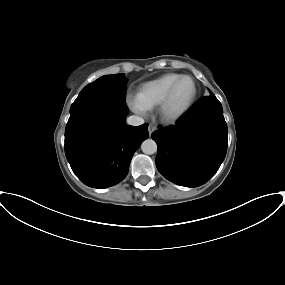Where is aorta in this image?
Wrapping results in <instances>:
<instances>
[{
    "label": "aorta",
    "mask_w": 285,
    "mask_h": 285,
    "mask_svg": "<svg viewBox=\"0 0 285 285\" xmlns=\"http://www.w3.org/2000/svg\"><path fill=\"white\" fill-rule=\"evenodd\" d=\"M141 149H142L143 153L151 155V154H154L155 152H157V144L154 140L147 139V140L143 141V143L141 145Z\"/></svg>",
    "instance_id": "762f6f07"
}]
</instances>
